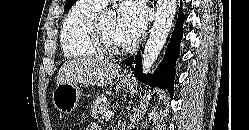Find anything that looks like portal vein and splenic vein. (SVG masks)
<instances>
[{"instance_id": "1", "label": "portal vein and splenic vein", "mask_w": 249, "mask_h": 130, "mask_svg": "<svg viewBox=\"0 0 249 130\" xmlns=\"http://www.w3.org/2000/svg\"><path fill=\"white\" fill-rule=\"evenodd\" d=\"M114 115L112 111H105L103 114V118H111Z\"/></svg>"}]
</instances>
